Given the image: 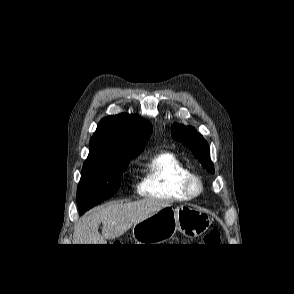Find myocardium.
<instances>
[{"label": "myocardium", "instance_id": "1", "mask_svg": "<svg viewBox=\"0 0 294 294\" xmlns=\"http://www.w3.org/2000/svg\"><path fill=\"white\" fill-rule=\"evenodd\" d=\"M182 187L186 194L190 197H196L202 193L204 183L202 178L193 172H188L182 180Z\"/></svg>", "mask_w": 294, "mask_h": 294}]
</instances>
